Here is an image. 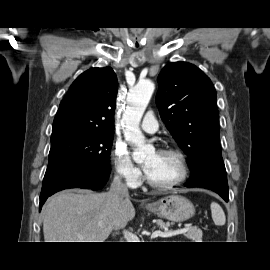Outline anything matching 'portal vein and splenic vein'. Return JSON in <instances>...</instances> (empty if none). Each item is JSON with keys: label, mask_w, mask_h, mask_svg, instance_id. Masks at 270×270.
<instances>
[{"label": "portal vein and splenic vein", "mask_w": 270, "mask_h": 270, "mask_svg": "<svg viewBox=\"0 0 270 270\" xmlns=\"http://www.w3.org/2000/svg\"><path fill=\"white\" fill-rule=\"evenodd\" d=\"M189 229V226L186 225L185 227L181 228V229H177L174 231H155L151 234L150 238L151 239H155L157 237H163V238H168V237H172L178 234H182L187 232ZM124 237L127 240V242H140L139 238L137 235L133 234L132 232H129L127 230L123 231Z\"/></svg>", "instance_id": "portal-vein-and-splenic-vein-1"}]
</instances>
